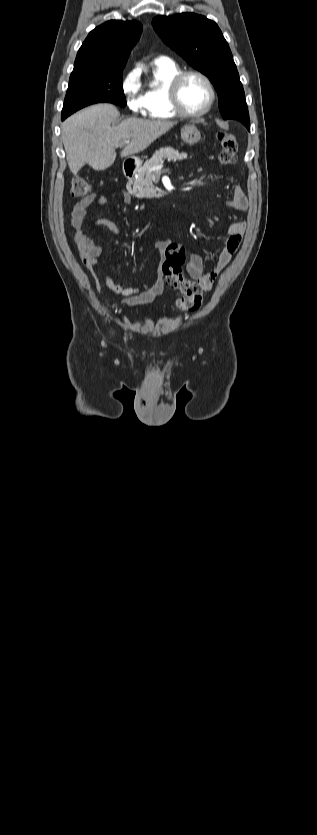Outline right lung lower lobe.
<instances>
[{
	"instance_id": "obj_1",
	"label": "right lung lower lobe",
	"mask_w": 317,
	"mask_h": 835,
	"mask_svg": "<svg viewBox=\"0 0 317 835\" xmlns=\"http://www.w3.org/2000/svg\"><path fill=\"white\" fill-rule=\"evenodd\" d=\"M65 118H66L65 116H61V119H62V120H64Z\"/></svg>"
}]
</instances>
